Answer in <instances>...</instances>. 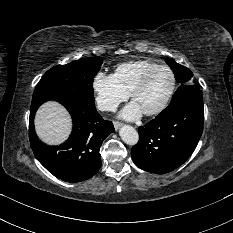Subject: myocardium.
<instances>
[{
    "instance_id": "f54148a6",
    "label": "myocardium",
    "mask_w": 233,
    "mask_h": 233,
    "mask_svg": "<svg viewBox=\"0 0 233 233\" xmlns=\"http://www.w3.org/2000/svg\"><path fill=\"white\" fill-rule=\"evenodd\" d=\"M160 69L168 70L169 73L171 74V77H172L171 88H170L168 94L166 95V97L164 98V100L162 101V103L158 107H156L155 109H153L151 111L143 113L146 116H156V115L160 114L161 112H163L166 109V107L168 106V104H169V102H170L171 98L173 97V94L176 90V86H177V79H176V75H175L174 71L168 65H157L156 67H154L151 70H149L148 72H146L130 92V97L133 100L135 95L137 93H139L146 86L150 77L156 71H158Z\"/></svg>"
}]
</instances>
